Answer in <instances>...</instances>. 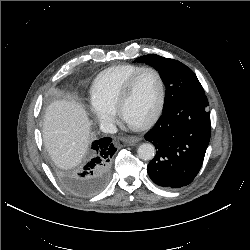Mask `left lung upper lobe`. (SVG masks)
<instances>
[{
  "label": "left lung upper lobe",
  "instance_id": "obj_1",
  "mask_svg": "<svg viewBox=\"0 0 250 250\" xmlns=\"http://www.w3.org/2000/svg\"><path fill=\"white\" fill-rule=\"evenodd\" d=\"M135 62L149 64L159 71L166 86L163 111L185 99L204 94L195 73L177 60L152 54L141 56Z\"/></svg>",
  "mask_w": 250,
  "mask_h": 250
}]
</instances>
